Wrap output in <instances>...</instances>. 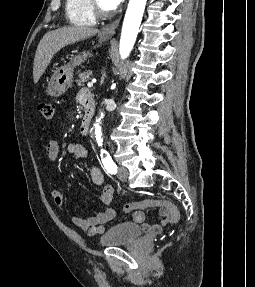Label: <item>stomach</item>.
I'll return each mask as SVG.
<instances>
[{"mask_svg": "<svg viewBox=\"0 0 255 287\" xmlns=\"http://www.w3.org/2000/svg\"><path fill=\"white\" fill-rule=\"evenodd\" d=\"M107 40H110V38H103V36H100L98 42L99 44H102V42H107ZM90 52H81L80 56H75V58H71L72 66H67L65 68L63 74L61 72H58L56 70L52 80H50L48 84V94L49 96H52V98H59V96H62L68 88H71V84L73 82V70L75 66H80L82 62H85L87 58H89Z\"/></svg>", "mask_w": 255, "mask_h": 287, "instance_id": "stomach-1", "label": "stomach"}]
</instances>
